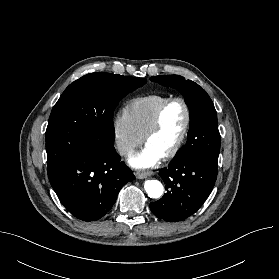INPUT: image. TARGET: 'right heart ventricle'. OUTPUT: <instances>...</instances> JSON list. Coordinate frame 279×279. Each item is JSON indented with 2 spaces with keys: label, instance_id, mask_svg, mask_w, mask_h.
Wrapping results in <instances>:
<instances>
[{
  "label": "right heart ventricle",
  "instance_id": "right-heart-ventricle-1",
  "mask_svg": "<svg viewBox=\"0 0 279 279\" xmlns=\"http://www.w3.org/2000/svg\"><path fill=\"white\" fill-rule=\"evenodd\" d=\"M169 98V96L161 94L136 97L127 104L124 112L135 130L143 136L150 126L157 109Z\"/></svg>",
  "mask_w": 279,
  "mask_h": 279
}]
</instances>
